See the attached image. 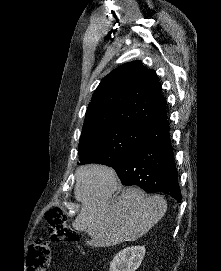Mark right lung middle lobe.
<instances>
[{
  "label": "right lung middle lobe",
  "instance_id": "1",
  "mask_svg": "<svg viewBox=\"0 0 221 271\" xmlns=\"http://www.w3.org/2000/svg\"><path fill=\"white\" fill-rule=\"evenodd\" d=\"M147 130L130 126L105 127L81 136L78 165L98 163L111 166L127 155Z\"/></svg>",
  "mask_w": 221,
  "mask_h": 271
}]
</instances>
